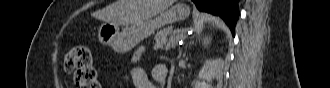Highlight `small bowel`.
<instances>
[{
	"instance_id": "small-bowel-1",
	"label": "small bowel",
	"mask_w": 330,
	"mask_h": 88,
	"mask_svg": "<svg viewBox=\"0 0 330 88\" xmlns=\"http://www.w3.org/2000/svg\"><path fill=\"white\" fill-rule=\"evenodd\" d=\"M152 81L148 79L145 71L140 67H131L123 76L124 82H130L136 88H160L166 82L168 69L158 64L151 69Z\"/></svg>"
}]
</instances>
